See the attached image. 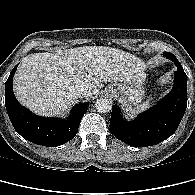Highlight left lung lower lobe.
Masks as SVG:
<instances>
[{
	"label": "left lung lower lobe",
	"mask_w": 195,
	"mask_h": 195,
	"mask_svg": "<svg viewBox=\"0 0 195 195\" xmlns=\"http://www.w3.org/2000/svg\"><path fill=\"white\" fill-rule=\"evenodd\" d=\"M174 63L177 67L174 86L157 105L132 122L124 121L119 108L113 106L110 132L115 137L134 147H147L164 141L176 131L187 107V75L179 61Z\"/></svg>",
	"instance_id": "0a47b994"
}]
</instances>
